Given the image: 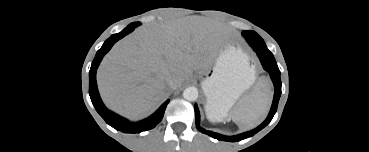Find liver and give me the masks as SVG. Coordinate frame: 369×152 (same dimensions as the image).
Listing matches in <instances>:
<instances>
[{"label":"liver","instance_id":"liver-1","mask_svg":"<svg viewBox=\"0 0 369 152\" xmlns=\"http://www.w3.org/2000/svg\"><path fill=\"white\" fill-rule=\"evenodd\" d=\"M226 32L208 19H178L141 27L118 42L97 72L107 107L130 119L150 114L170 90L204 67L226 40ZM174 81L167 84V78Z\"/></svg>","mask_w":369,"mask_h":152}]
</instances>
